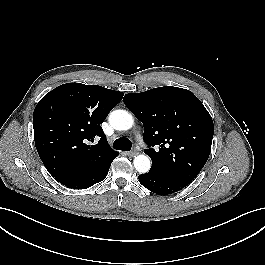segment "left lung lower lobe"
Masks as SVG:
<instances>
[{"label": "left lung lower lobe", "instance_id": "left-lung-lower-lobe-1", "mask_svg": "<svg viewBox=\"0 0 265 265\" xmlns=\"http://www.w3.org/2000/svg\"><path fill=\"white\" fill-rule=\"evenodd\" d=\"M138 178L145 188L159 195L172 194L188 185L186 182L153 168L148 173L139 175Z\"/></svg>", "mask_w": 265, "mask_h": 265}]
</instances>
